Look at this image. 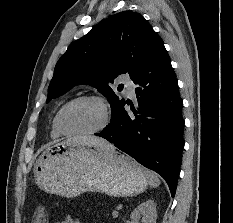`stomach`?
Instances as JSON below:
<instances>
[{
	"label": "stomach",
	"instance_id": "1",
	"mask_svg": "<svg viewBox=\"0 0 233 223\" xmlns=\"http://www.w3.org/2000/svg\"><path fill=\"white\" fill-rule=\"evenodd\" d=\"M33 173L39 189L62 197H77L85 191L132 197L149 183L146 169L132 157L71 141L49 145L36 159Z\"/></svg>",
	"mask_w": 233,
	"mask_h": 223
}]
</instances>
